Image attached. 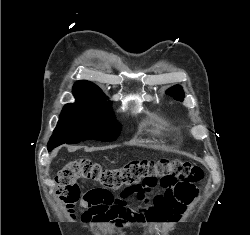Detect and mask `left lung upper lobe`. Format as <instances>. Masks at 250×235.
<instances>
[{"label": "left lung upper lobe", "instance_id": "5c2ea615", "mask_svg": "<svg viewBox=\"0 0 250 235\" xmlns=\"http://www.w3.org/2000/svg\"><path fill=\"white\" fill-rule=\"evenodd\" d=\"M166 93L169 94V95H171L172 97H174L176 100L183 101L184 92H183L181 86H178V85L173 86V87L169 88L166 91Z\"/></svg>", "mask_w": 250, "mask_h": 235}]
</instances>
